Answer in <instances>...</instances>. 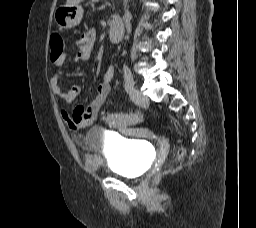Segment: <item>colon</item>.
<instances>
[{
	"label": "colon",
	"mask_w": 256,
	"mask_h": 228,
	"mask_svg": "<svg viewBox=\"0 0 256 228\" xmlns=\"http://www.w3.org/2000/svg\"><path fill=\"white\" fill-rule=\"evenodd\" d=\"M51 45V57L56 58L63 53L64 50V41L59 34H53L50 40ZM105 123L114 126H131L136 125L141 122L142 116L139 113H110L105 116ZM186 154L184 147H180L177 151V160L182 159Z\"/></svg>",
	"instance_id": "1"
}]
</instances>
